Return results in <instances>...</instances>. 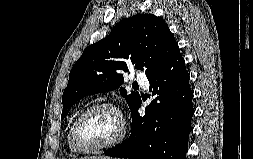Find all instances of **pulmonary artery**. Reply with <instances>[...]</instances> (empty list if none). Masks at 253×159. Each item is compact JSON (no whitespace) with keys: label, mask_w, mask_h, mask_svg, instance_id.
Returning a JSON list of instances; mask_svg holds the SVG:
<instances>
[{"label":"pulmonary artery","mask_w":253,"mask_h":159,"mask_svg":"<svg viewBox=\"0 0 253 159\" xmlns=\"http://www.w3.org/2000/svg\"><path fill=\"white\" fill-rule=\"evenodd\" d=\"M138 85L142 86L144 89H147L149 86V81L143 72H136L133 76Z\"/></svg>","instance_id":"1"}]
</instances>
